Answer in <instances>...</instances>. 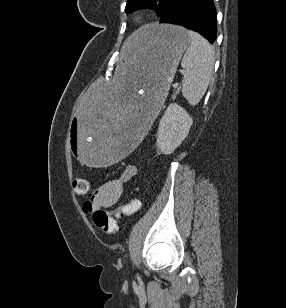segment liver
<instances>
[{
	"label": "liver",
	"mask_w": 286,
	"mask_h": 308,
	"mask_svg": "<svg viewBox=\"0 0 286 308\" xmlns=\"http://www.w3.org/2000/svg\"><path fill=\"white\" fill-rule=\"evenodd\" d=\"M138 41V33L137 31L134 32L125 42L124 46H123V53L125 56L129 57L130 60L133 61V49L136 46V43Z\"/></svg>",
	"instance_id": "liver-1"
}]
</instances>
